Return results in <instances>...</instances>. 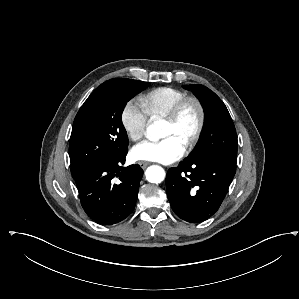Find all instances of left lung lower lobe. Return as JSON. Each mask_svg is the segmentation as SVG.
Masks as SVG:
<instances>
[{"label": "left lung lower lobe", "instance_id": "obj_1", "mask_svg": "<svg viewBox=\"0 0 299 299\" xmlns=\"http://www.w3.org/2000/svg\"><path fill=\"white\" fill-rule=\"evenodd\" d=\"M235 172L236 164L217 157L170 168L166 187L173 211L185 221H205L220 207Z\"/></svg>", "mask_w": 299, "mask_h": 299}]
</instances>
